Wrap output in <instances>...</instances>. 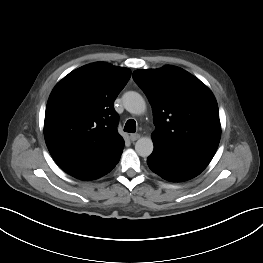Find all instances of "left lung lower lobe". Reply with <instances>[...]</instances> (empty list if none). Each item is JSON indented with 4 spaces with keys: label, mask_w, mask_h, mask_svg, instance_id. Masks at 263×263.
Masks as SVG:
<instances>
[{
    "label": "left lung lower lobe",
    "mask_w": 263,
    "mask_h": 263,
    "mask_svg": "<svg viewBox=\"0 0 263 263\" xmlns=\"http://www.w3.org/2000/svg\"><path fill=\"white\" fill-rule=\"evenodd\" d=\"M153 142L154 150L147 164L154 173L172 182L186 181L200 174L216 152L199 146L176 145L161 140Z\"/></svg>",
    "instance_id": "obj_1"
}]
</instances>
